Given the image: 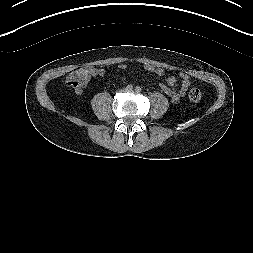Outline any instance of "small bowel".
<instances>
[{
    "label": "small bowel",
    "instance_id": "small-bowel-1",
    "mask_svg": "<svg viewBox=\"0 0 253 253\" xmlns=\"http://www.w3.org/2000/svg\"><path fill=\"white\" fill-rule=\"evenodd\" d=\"M121 68L125 67V64L120 65ZM95 75L102 76L104 71L102 69H95ZM179 85V88H176ZM191 85V80L188 74L181 72L178 77L171 76L168 80V87H163L166 94H168L174 102H177L180 97L186 94L187 89ZM83 90L76 91L80 94Z\"/></svg>",
    "mask_w": 253,
    "mask_h": 253
}]
</instances>
